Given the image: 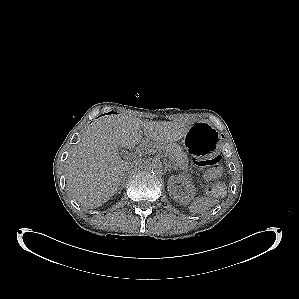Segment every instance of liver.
I'll use <instances>...</instances> for the list:
<instances>
[{
	"instance_id": "obj_1",
	"label": "liver",
	"mask_w": 299,
	"mask_h": 299,
	"mask_svg": "<svg viewBox=\"0 0 299 299\" xmlns=\"http://www.w3.org/2000/svg\"><path fill=\"white\" fill-rule=\"evenodd\" d=\"M141 128L152 141L168 144L184 137L190 125L142 121L128 115H109L93 122L66 161V186L78 203L97 208L117 192L130 164L129 158L120 157L118 149L138 145L143 134Z\"/></svg>"
}]
</instances>
